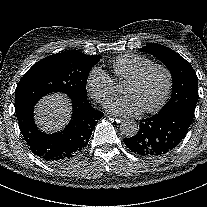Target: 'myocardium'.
Segmentation results:
<instances>
[{
	"instance_id": "f54148a6",
	"label": "myocardium",
	"mask_w": 207,
	"mask_h": 207,
	"mask_svg": "<svg viewBox=\"0 0 207 207\" xmlns=\"http://www.w3.org/2000/svg\"><path fill=\"white\" fill-rule=\"evenodd\" d=\"M154 68H158V69L162 70L165 73L166 79H167L166 89H165L163 97L161 98L159 103L156 106H154L153 108L142 111L141 112L142 116L155 114V113L159 112L166 105V103L169 100V97L171 95L172 89H173V75H172L170 69L167 66H165L164 64H162V63H151V64L143 67L140 71H138L136 74H134L133 76L128 78L125 82V83H128V84H136L139 81H141L143 79V77L150 70H152Z\"/></svg>"
}]
</instances>
